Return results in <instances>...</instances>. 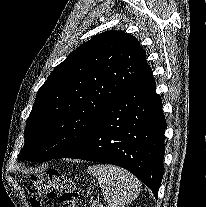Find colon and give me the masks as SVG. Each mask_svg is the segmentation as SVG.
Instances as JSON below:
<instances>
[{
    "label": "colon",
    "mask_w": 206,
    "mask_h": 207,
    "mask_svg": "<svg viewBox=\"0 0 206 207\" xmlns=\"http://www.w3.org/2000/svg\"><path fill=\"white\" fill-rule=\"evenodd\" d=\"M33 196V207H41L40 198L59 199L62 207H80V194L74 182L61 175L57 170H48L31 177L25 183Z\"/></svg>",
    "instance_id": "obj_1"
}]
</instances>
